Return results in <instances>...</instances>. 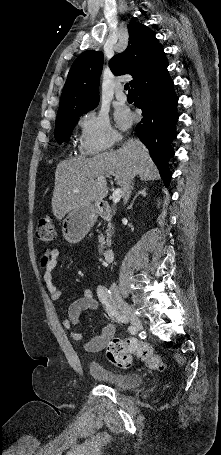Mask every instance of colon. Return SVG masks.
I'll use <instances>...</instances> for the list:
<instances>
[{"instance_id": "obj_1", "label": "colon", "mask_w": 221, "mask_h": 455, "mask_svg": "<svg viewBox=\"0 0 221 455\" xmlns=\"http://www.w3.org/2000/svg\"><path fill=\"white\" fill-rule=\"evenodd\" d=\"M56 236L53 217H42L36 227V237L41 242H51ZM132 355L144 361L150 369L162 370L165 364L162 358L155 353L151 344L135 338H111L106 345V357L120 368H129L132 365Z\"/></svg>"}]
</instances>
